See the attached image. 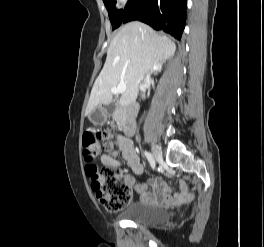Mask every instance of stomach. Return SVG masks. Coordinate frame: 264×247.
Returning a JSON list of instances; mask_svg holds the SVG:
<instances>
[{
	"instance_id": "1",
	"label": "stomach",
	"mask_w": 264,
	"mask_h": 247,
	"mask_svg": "<svg viewBox=\"0 0 264 247\" xmlns=\"http://www.w3.org/2000/svg\"><path fill=\"white\" fill-rule=\"evenodd\" d=\"M93 115V123L94 124H102L107 118L106 110L101 106L98 105L90 114L89 117ZM91 120V119H90Z\"/></svg>"
}]
</instances>
